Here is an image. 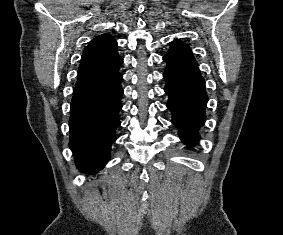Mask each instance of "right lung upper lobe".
<instances>
[{
  "instance_id": "right-lung-upper-lobe-1",
  "label": "right lung upper lobe",
  "mask_w": 283,
  "mask_h": 235,
  "mask_svg": "<svg viewBox=\"0 0 283 235\" xmlns=\"http://www.w3.org/2000/svg\"><path fill=\"white\" fill-rule=\"evenodd\" d=\"M123 63L117 52V42L107 33L93 39L82 54L76 84L105 77Z\"/></svg>"
}]
</instances>
